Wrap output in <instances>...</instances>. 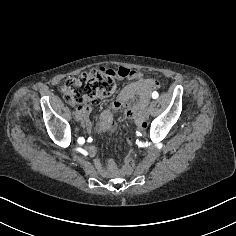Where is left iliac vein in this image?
<instances>
[{
  "label": "left iliac vein",
  "mask_w": 236,
  "mask_h": 236,
  "mask_svg": "<svg viewBox=\"0 0 236 236\" xmlns=\"http://www.w3.org/2000/svg\"><path fill=\"white\" fill-rule=\"evenodd\" d=\"M147 108H148V109H147L146 112H145V116H146V117H149V116H150V113H151V111H152V110H151L152 107L149 105Z\"/></svg>",
  "instance_id": "obj_1"
}]
</instances>
